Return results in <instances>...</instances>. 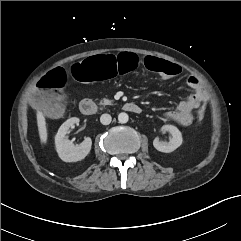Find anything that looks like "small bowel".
<instances>
[{"label": "small bowel", "mask_w": 241, "mask_h": 241, "mask_svg": "<svg viewBox=\"0 0 241 241\" xmlns=\"http://www.w3.org/2000/svg\"><path fill=\"white\" fill-rule=\"evenodd\" d=\"M187 84L194 92L186 99L182 100L178 104L176 110L167 112L168 118L178 122L182 126H189L192 124V111L197 109L207 99V93L197 77L192 75L189 76L187 78Z\"/></svg>", "instance_id": "small-bowel-1"}]
</instances>
